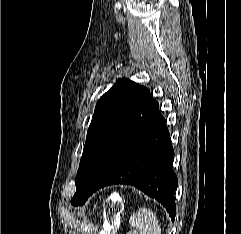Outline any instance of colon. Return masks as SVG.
Wrapping results in <instances>:
<instances>
[{"mask_svg": "<svg viewBox=\"0 0 241 234\" xmlns=\"http://www.w3.org/2000/svg\"><path fill=\"white\" fill-rule=\"evenodd\" d=\"M121 211V202L117 199H109L105 205V212L114 218Z\"/></svg>", "mask_w": 241, "mask_h": 234, "instance_id": "5ec220e1", "label": "colon"}]
</instances>
